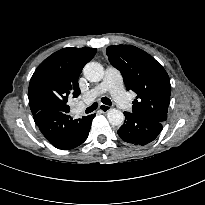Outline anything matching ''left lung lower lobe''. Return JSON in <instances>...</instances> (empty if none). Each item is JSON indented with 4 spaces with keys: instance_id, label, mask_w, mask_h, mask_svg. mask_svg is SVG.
<instances>
[{
    "instance_id": "1",
    "label": "left lung lower lobe",
    "mask_w": 205,
    "mask_h": 205,
    "mask_svg": "<svg viewBox=\"0 0 205 205\" xmlns=\"http://www.w3.org/2000/svg\"><path fill=\"white\" fill-rule=\"evenodd\" d=\"M124 124L118 130L119 137L130 144L144 146L152 142L162 131V122L124 112Z\"/></svg>"
}]
</instances>
